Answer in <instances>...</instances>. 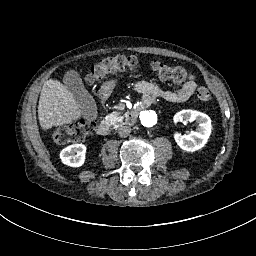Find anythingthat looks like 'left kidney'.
<instances>
[{
    "mask_svg": "<svg viewBox=\"0 0 256 256\" xmlns=\"http://www.w3.org/2000/svg\"><path fill=\"white\" fill-rule=\"evenodd\" d=\"M196 122L197 128L194 132L188 135H175V140L178 146L186 152H195L202 149L208 142L212 125L211 119L207 114L195 110H182L175 117V122L181 121Z\"/></svg>",
    "mask_w": 256,
    "mask_h": 256,
    "instance_id": "1",
    "label": "left kidney"
}]
</instances>
